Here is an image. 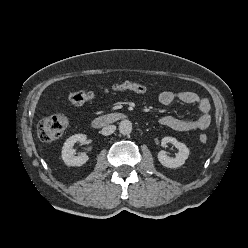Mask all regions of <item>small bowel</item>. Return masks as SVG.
I'll return each instance as SVG.
<instances>
[{
  "label": "small bowel",
  "mask_w": 248,
  "mask_h": 248,
  "mask_svg": "<svg viewBox=\"0 0 248 248\" xmlns=\"http://www.w3.org/2000/svg\"><path fill=\"white\" fill-rule=\"evenodd\" d=\"M158 100L162 105H170L175 101L184 104H195L198 106L200 116L197 118H180L170 115L162 116L159 123L163 126L171 128L179 132H187L193 130H205L211 124V105L207 98L199 96L192 91H162Z\"/></svg>",
  "instance_id": "small-bowel-1"
}]
</instances>
